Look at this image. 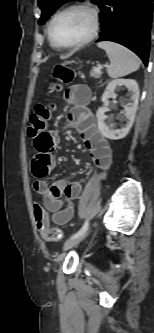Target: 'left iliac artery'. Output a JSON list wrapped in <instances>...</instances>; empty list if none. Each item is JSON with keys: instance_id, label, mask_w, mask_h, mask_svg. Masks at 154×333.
Returning a JSON list of instances; mask_svg holds the SVG:
<instances>
[{"instance_id": "44dca946", "label": "left iliac artery", "mask_w": 154, "mask_h": 333, "mask_svg": "<svg viewBox=\"0 0 154 333\" xmlns=\"http://www.w3.org/2000/svg\"><path fill=\"white\" fill-rule=\"evenodd\" d=\"M88 226H89V222H88V220H86L85 223L83 224V226L81 227V229L77 233H75L74 235L71 236V239L76 238V237L80 236L81 234H83L88 229Z\"/></svg>"}]
</instances>
